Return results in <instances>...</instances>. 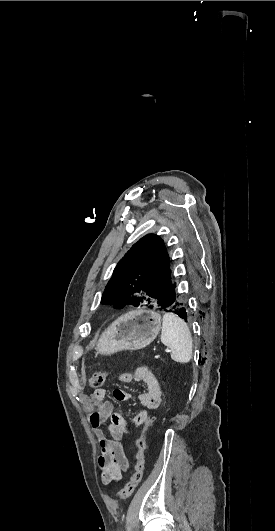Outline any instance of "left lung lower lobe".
I'll list each match as a JSON object with an SVG mask.
<instances>
[{
    "label": "left lung lower lobe",
    "instance_id": "obj_1",
    "mask_svg": "<svg viewBox=\"0 0 275 531\" xmlns=\"http://www.w3.org/2000/svg\"><path fill=\"white\" fill-rule=\"evenodd\" d=\"M164 308L166 312L174 313L187 322L189 313L185 302L178 295H175L172 302Z\"/></svg>",
    "mask_w": 275,
    "mask_h": 531
}]
</instances>
